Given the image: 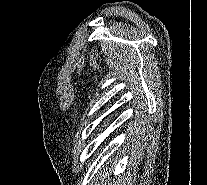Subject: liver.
Segmentation results:
<instances>
[{"label":"liver","instance_id":"6515ba94","mask_svg":"<svg viewBox=\"0 0 207 185\" xmlns=\"http://www.w3.org/2000/svg\"><path fill=\"white\" fill-rule=\"evenodd\" d=\"M112 171H108L107 167L105 171H99V175L96 179V181H100V185H104L106 181H108ZM109 185H131V177H125V179H114L112 183H109Z\"/></svg>","mask_w":207,"mask_h":185}]
</instances>
